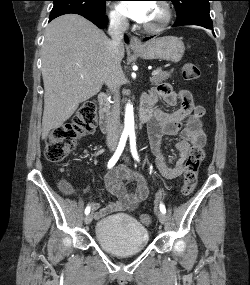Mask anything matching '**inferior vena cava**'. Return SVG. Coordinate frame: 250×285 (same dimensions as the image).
I'll return each instance as SVG.
<instances>
[{
  "mask_svg": "<svg viewBox=\"0 0 250 285\" xmlns=\"http://www.w3.org/2000/svg\"><path fill=\"white\" fill-rule=\"evenodd\" d=\"M128 20L118 14H114L110 18L108 34L111 40L107 43L106 57L104 61L103 74L104 82L113 93L114 104L112 106L111 115L108 119V146H116L119 140L120 126V87L123 81V71L121 68L120 49L123 45V37L128 29Z\"/></svg>",
  "mask_w": 250,
  "mask_h": 285,
  "instance_id": "inferior-vena-cava-1",
  "label": "inferior vena cava"
}]
</instances>
